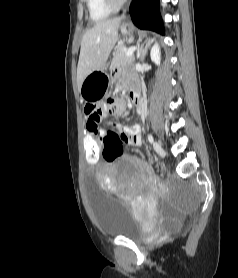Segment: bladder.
Listing matches in <instances>:
<instances>
[{
  "label": "bladder",
  "mask_w": 238,
  "mask_h": 278,
  "mask_svg": "<svg viewBox=\"0 0 238 278\" xmlns=\"http://www.w3.org/2000/svg\"><path fill=\"white\" fill-rule=\"evenodd\" d=\"M86 180H97V175H86ZM85 185L88 186L87 193L91 194L90 203L96 223L103 234L134 241L144 239L148 230L128 203L103 191L98 181H86Z\"/></svg>",
  "instance_id": "31cf9c89"
}]
</instances>
